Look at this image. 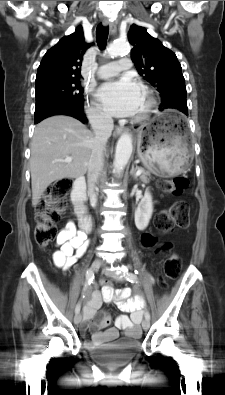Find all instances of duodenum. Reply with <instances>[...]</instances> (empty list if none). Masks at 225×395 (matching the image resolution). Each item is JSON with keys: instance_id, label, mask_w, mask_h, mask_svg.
Returning a JSON list of instances; mask_svg holds the SVG:
<instances>
[{"instance_id": "duodenum-1", "label": "duodenum", "mask_w": 225, "mask_h": 395, "mask_svg": "<svg viewBox=\"0 0 225 395\" xmlns=\"http://www.w3.org/2000/svg\"><path fill=\"white\" fill-rule=\"evenodd\" d=\"M86 183L83 177H78L74 181L73 190L71 193V199L75 207V211L78 215L80 227L89 232L92 227V221L90 216L87 213V209L85 206V199H86Z\"/></svg>"}]
</instances>
